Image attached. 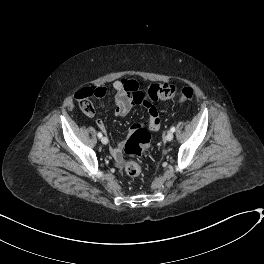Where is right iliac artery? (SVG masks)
<instances>
[{"label": "right iliac artery", "mask_w": 264, "mask_h": 264, "mask_svg": "<svg viewBox=\"0 0 264 264\" xmlns=\"http://www.w3.org/2000/svg\"><path fill=\"white\" fill-rule=\"evenodd\" d=\"M97 135H98L99 138H101L103 136L101 132H98Z\"/></svg>", "instance_id": "82829eb1"}]
</instances>
